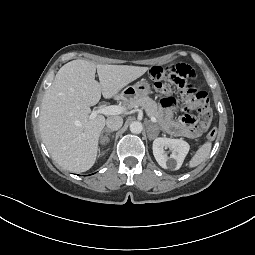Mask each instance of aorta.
<instances>
[{
  "label": "aorta",
  "instance_id": "aorta-1",
  "mask_svg": "<svg viewBox=\"0 0 255 255\" xmlns=\"http://www.w3.org/2000/svg\"><path fill=\"white\" fill-rule=\"evenodd\" d=\"M143 130L142 123L139 121H134L130 124V131L134 134H139Z\"/></svg>",
  "mask_w": 255,
  "mask_h": 255
}]
</instances>
